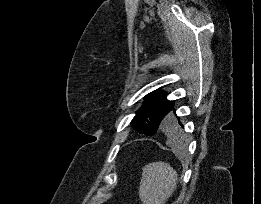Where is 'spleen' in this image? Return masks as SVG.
<instances>
[{
	"label": "spleen",
	"mask_w": 261,
	"mask_h": 204,
	"mask_svg": "<svg viewBox=\"0 0 261 204\" xmlns=\"http://www.w3.org/2000/svg\"><path fill=\"white\" fill-rule=\"evenodd\" d=\"M185 150L184 139H173ZM177 172L162 161L152 162L142 168L139 197L143 204H164L177 187Z\"/></svg>",
	"instance_id": "3e777b00"
}]
</instances>
